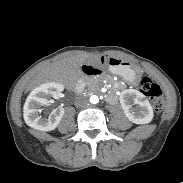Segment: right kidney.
Returning <instances> with one entry per match:
<instances>
[{"instance_id": "ca27d5eb", "label": "right kidney", "mask_w": 183, "mask_h": 183, "mask_svg": "<svg viewBox=\"0 0 183 183\" xmlns=\"http://www.w3.org/2000/svg\"><path fill=\"white\" fill-rule=\"evenodd\" d=\"M62 90L63 85L56 82L46 83L35 88L24 105L23 112L26 124L40 131L54 130L64 115V108L57 107L47 118L41 115V107L49 105L50 98L57 96Z\"/></svg>"}]
</instances>
